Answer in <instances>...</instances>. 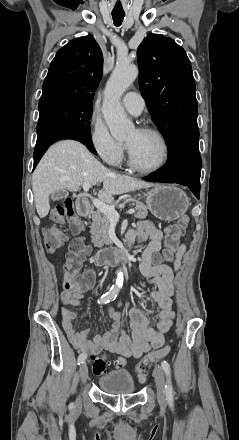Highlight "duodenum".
Instances as JSON below:
<instances>
[{"mask_svg":"<svg viewBox=\"0 0 239 440\" xmlns=\"http://www.w3.org/2000/svg\"><path fill=\"white\" fill-rule=\"evenodd\" d=\"M76 208L81 216H88L92 212V206L85 197L79 198ZM131 255L130 247L125 248H109L97 252L93 257V263L96 266H104L107 264H117L126 261Z\"/></svg>","mask_w":239,"mask_h":440,"instance_id":"duodenum-1","label":"duodenum"}]
</instances>
